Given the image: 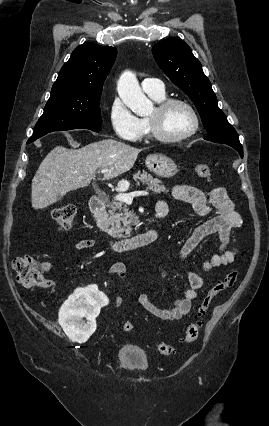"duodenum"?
Instances as JSON below:
<instances>
[{"mask_svg": "<svg viewBox=\"0 0 269 426\" xmlns=\"http://www.w3.org/2000/svg\"><path fill=\"white\" fill-rule=\"evenodd\" d=\"M106 206L107 198L103 193H96L90 200V208L93 214V219L98 229L104 230L107 228L106 221ZM167 208L158 207L156 209V218L158 221H162L167 216ZM158 231L151 229L145 233L135 235L125 239H109L113 251L117 253H123L131 250H135L144 246H147L158 238Z\"/></svg>", "mask_w": 269, "mask_h": 426, "instance_id": "duodenum-1", "label": "duodenum"}]
</instances>
